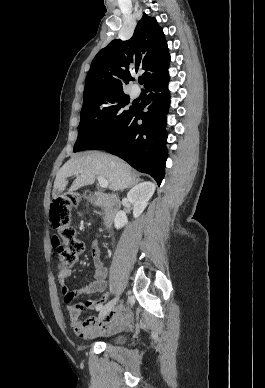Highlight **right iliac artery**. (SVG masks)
<instances>
[{
  "mask_svg": "<svg viewBox=\"0 0 265 388\" xmlns=\"http://www.w3.org/2000/svg\"><path fill=\"white\" fill-rule=\"evenodd\" d=\"M102 308H103V305H99V306L96 308V310L99 311V310H101Z\"/></svg>",
  "mask_w": 265,
  "mask_h": 388,
  "instance_id": "1",
  "label": "right iliac artery"
}]
</instances>
